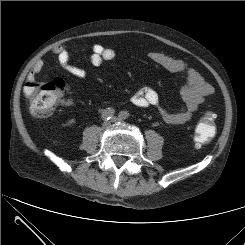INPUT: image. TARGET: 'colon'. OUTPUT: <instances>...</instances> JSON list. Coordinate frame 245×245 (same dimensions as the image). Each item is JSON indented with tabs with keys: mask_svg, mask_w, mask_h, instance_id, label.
Instances as JSON below:
<instances>
[{
	"mask_svg": "<svg viewBox=\"0 0 245 245\" xmlns=\"http://www.w3.org/2000/svg\"><path fill=\"white\" fill-rule=\"evenodd\" d=\"M65 83L61 79L50 81H28L24 88L31 113L37 117H46L59 104H69L63 97ZM216 114L207 112L196 125L194 143L197 148L208 144L216 132Z\"/></svg>",
	"mask_w": 245,
	"mask_h": 245,
	"instance_id": "5ec220e1",
	"label": "colon"
}]
</instances>
